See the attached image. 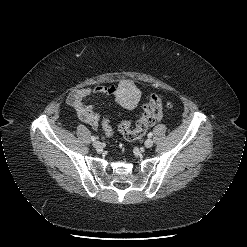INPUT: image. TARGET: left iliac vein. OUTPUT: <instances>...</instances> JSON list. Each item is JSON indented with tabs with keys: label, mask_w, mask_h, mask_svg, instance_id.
I'll return each instance as SVG.
<instances>
[{
	"label": "left iliac vein",
	"mask_w": 247,
	"mask_h": 247,
	"mask_svg": "<svg viewBox=\"0 0 247 247\" xmlns=\"http://www.w3.org/2000/svg\"><path fill=\"white\" fill-rule=\"evenodd\" d=\"M144 144H145V146L147 148H150V147L153 146V140L152 139H147Z\"/></svg>",
	"instance_id": "left-iliac-vein-1"
}]
</instances>
